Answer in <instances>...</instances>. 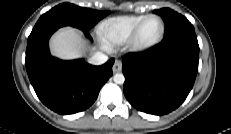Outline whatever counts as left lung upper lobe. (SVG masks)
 Instances as JSON below:
<instances>
[{"label": "left lung upper lobe", "mask_w": 231, "mask_h": 134, "mask_svg": "<svg viewBox=\"0 0 231 134\" xmlns=\"http://www.w3.org/2000/svg\"><path fill=\"white\" fill-rule=\"evenodd\" d=\"M154 13L159 14L165 21L164 37L184 30H194L193 25L186 17L169 8L159 9Z\"/></svg>", "instance_id": "obj_1"}]
</instances>
